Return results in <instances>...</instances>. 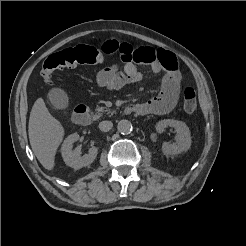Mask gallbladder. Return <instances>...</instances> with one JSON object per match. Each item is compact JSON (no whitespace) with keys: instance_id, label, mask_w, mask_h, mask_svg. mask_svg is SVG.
Here are the masks:
<instances>
[{"instance_id":"obj_1","label":"gallbladder","mask_w":246,"mask_h":246,"mask_svg":"<svg viewBox=\"0 0 246 246\" xmlns=\"http://www.w3.org/2000/svg\"><path fill=\"white\" fill-rule=\"evenodd\" d=\"M49 103L55 109H65L69 105V98L66 92L61 88H53L49 91L48 95Z\"/></svg>"}]
</instances>
